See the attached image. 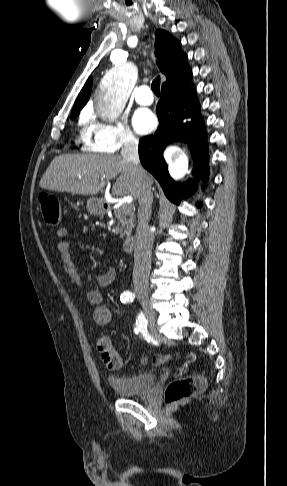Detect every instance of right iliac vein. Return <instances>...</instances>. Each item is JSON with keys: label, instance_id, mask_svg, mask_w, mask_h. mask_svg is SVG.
<instances>
[{"label": "right iliac vein", "instance_id": "obj_1", "mask_svg": "<svg viewBox=\"0 0 287 486\" xmlns=\"http://www.w3.org/2000/svg\"><path fill=\"white\" fill-rule=\"evenodd\" d=\"M136 295H137V298L138 300L140 301V303L142 304L144 310H145V313H146V317L149 321V327L152 331H155L156 330V315H155V312L153 310V308L151 307L150 305V301H149V297H148V293L147 291L145 290H138L136 292Z\"/></svg>", "mask_w": 287, "mask_h": 486}]
</instances>
